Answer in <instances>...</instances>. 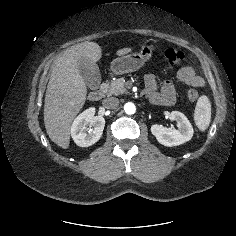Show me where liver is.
Segmentation results:
<instances>
[{"instance_id": "obj_1", "label": "liver", "mask_w": 236, "mask_h": 236, "mask_svg": "<svg viewBox=\"0 0 236 236\" xmlns=\"http://www.w3.org/2000/svg\"><path fill=\"white\" fill-rule=\"evenodd\" d=\"M131 48H122L116 55L123 56ZM85 57L97 62L102 57L100 46L95 42H82L66 49L57 56L52 67L44 103V124L49 138L67 149L70 144L71 124L82 109L87 95L86 84L77 62Z\"/></svg>"}]
</instances>
